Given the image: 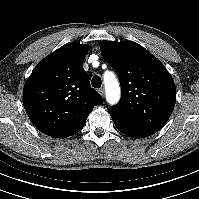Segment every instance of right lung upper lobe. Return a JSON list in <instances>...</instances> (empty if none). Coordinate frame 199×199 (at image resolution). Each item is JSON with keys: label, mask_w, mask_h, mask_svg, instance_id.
I'll return each instance as SVG.
<instances>
[{"label": "right lung upper lobe", "mask_w": 199, "mask_h": 199, "mask_svg": "<svg viewBox=\"0 0 199 199\" xmlns=\"http://www.w3.org/2000/svg\"><path fill=\"white\" fill-rule=\"evenodd\" d=\"M88 45L62 46L34 68L23 89L25 111L46 135L65 138L79 132L101 95L83 68Z\"/></svg>", "instance_id": "cb5924a9"}]
</instances>
